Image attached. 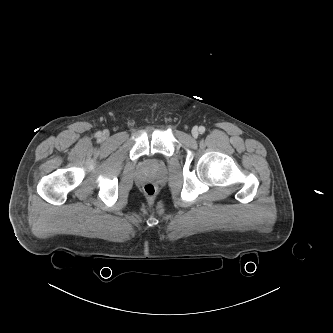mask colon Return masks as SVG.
I'll return each instance as SVG.
<instances>
[{
	"label": "colon",
	"mask_w": 333,
	"mask_h": 333,
	"mask_svg": "<svg viewBox=\"0 0 333 333\" xmlns=\"http://www.w3.org/2000/svg\"><path fill=\"white\" fill-rule=\"evenodd\" d=\"M143 191H144L146 199L149 202H152L156 195V187L151 183H147L144 185Z\"/></svg>",
	"instance_id": "colon-1"
}]
</instances>
